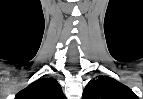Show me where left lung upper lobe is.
Wrapping results in <instances>:
<instances>
[{
	"instance_id": "5c2ea615",
	"label": "left lung upper lobe",
	"mask_w": 143,
	"mask_h": 99,
	"mask_svg": "<svg viewBox=\"0 0 143 99\" xmlns=\"http://www.w3.org/2000/svg\"><path fill=\"white\" fill-rule=\"evenodd\" d=\"M84 99H139L124 84L108 76L91 80L83 91Z\"/></svg>"
}]
</instances>
